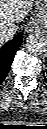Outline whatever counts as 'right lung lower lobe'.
<instances>
[{
    "label": "right lung lower lobe",
    "instance_id": "obj_1",
    "mask_svg": "<svg viewBox=\"0 0 47 129\" xmlns=\"http://www.w3.org/2000/svg\"><path fill=\"white\" fill-rule=\"evenodd\" d=\"M23 35L17 34L11 41L0 48V84L7 76L16 51L22 43Z\"/></svg>",
    "mask_w": 47,
    "mask_h": 129
}]
</instances>
